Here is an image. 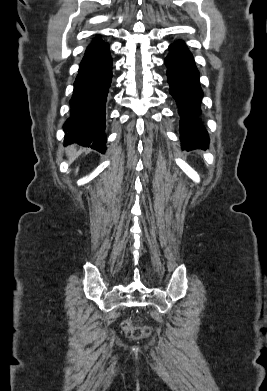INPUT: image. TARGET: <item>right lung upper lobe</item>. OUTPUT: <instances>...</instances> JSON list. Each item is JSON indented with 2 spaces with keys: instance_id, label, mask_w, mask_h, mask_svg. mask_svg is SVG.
Returning a JSON list of instances; mask_svg holds the SVG:
<instances>
[{
  "instance_id": "1",
  "label": "right lung upper lobe",
  "mask_w": 267,
  "mask_h": 391,
  "mask_svg": "<svg viewBox=\"0 0 267 391\" xmlns=\"http://www.w3.org/2000/svg\"><path fill=\"white\" fill-rule=\"evenodd\" d=\"M102 44H104V42L102 41V39H101V38H96V39H94L93 42L88 46L86 52L89 51V50H92V49H94V48H96V47H98V46H100V45H102Z\"/></svg>"
}]
</instances>
